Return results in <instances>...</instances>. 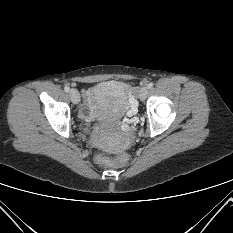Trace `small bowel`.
I'll return each mask as SVG.
<instances>
[{
	"label": "small bowel",
	"instance_id": "1",
	"mask_svg": "<svg viewBox=\"0 0 233 233\" xmlns=\"http://www.w3.org/2000/svg\"><path fill=\"white\" fill-rule=\"evenodd\" d=\"M84 95H85L86 99H88L90 97V92L87 91L84 93Z\"/></svg>",
	"mask_w": 233,
	"mask_h": 233
}]
</instances>
